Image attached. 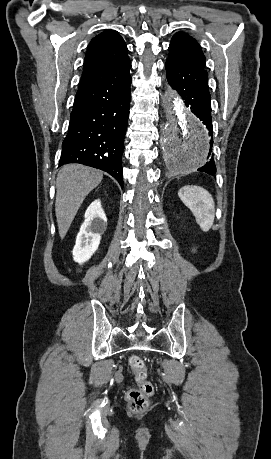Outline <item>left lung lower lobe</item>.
Returning a JSON list of instances; mask_svg holds the SVG:
<instances>
[{
  "mask_svg": "<svg viewBox=\"0 0 271 459\" xmlns=\"http://www.w3.org/2000/svg\"><path fill=\"white\" fill-rule=\"evenodd\" d=\"M167 80L170 86L182 96L186 106L203 121L211 137L208 158L213 146V126L211 117V96L208 87V73L205 69L190 67L184 64L175 63L167 60L165 64ZM198 171L206 172L210 175L216 173V167L211 156L209 161Z\"/></svg>",
  "mask_w": 271,
  "mask_h": 459,
  "instance_id": "0a47b994",
  "label": "left lung lower lobe"
}]
</instances>
